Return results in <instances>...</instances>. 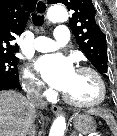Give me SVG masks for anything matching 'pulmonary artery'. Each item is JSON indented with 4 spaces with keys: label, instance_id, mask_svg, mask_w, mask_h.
Listing matches in <instances>:
<instances>
[{
    "label": "pulmonary artery",
    "instance_id": "obj_1",
    "mask_svg": "<svg viewBox=\"0 0 117 136\" xmlns=\"http://www.w3.org/2000/svg\"><path fill=\"white\" fill-rule=\"evenodd\" d=\"M69 42V30L64 25L56 27L52 38L40 36L34 42V48L38 52L53 51Z\"/></svg>",
    "mask_w": 117,
    "mask_h": 136
}]
</instances>
